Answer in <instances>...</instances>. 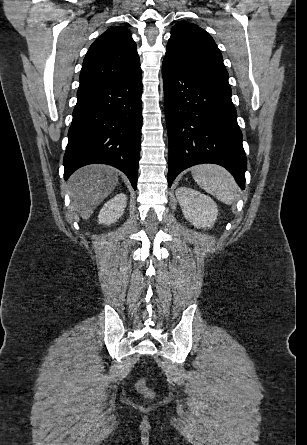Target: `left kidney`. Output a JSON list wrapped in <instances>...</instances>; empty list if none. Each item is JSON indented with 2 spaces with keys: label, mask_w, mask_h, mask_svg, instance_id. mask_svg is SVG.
<instances>
[{
  "label": "left kidney",
  "mask_w": 307,
  "mask_h": 445,
  "mask_svg": "<svg viewBox=\"0 0 307 445\" xmlns=\"http://www.w3.org/2000/svg\"><path fill=\"white\" fill-rule=\"evenodd\" d=\"M175 194L185 218L193 227L205 229L214 225L218 208L210 196L187 186H179Z\"/></svg>",
  "instance_id": "1"
}]
</instances>
